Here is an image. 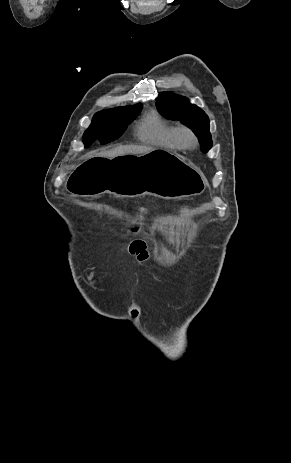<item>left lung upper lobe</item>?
Wrapping results in <instances>:
<instances>
[{
	"label": "left lung upper lobe",
	"mask_w": 291,
	"mask_h": 463,
	"mask_svg": "<svg viewBox=\"0 0 291 463\" xmlns=\"http://www.w3.org/2000/svg\"><path fill=\"white\" fill-rule=\"evenodd\" d=\"M158 111L167 119L179 120L197 135L203 152L212 146L209 119L205 112L183 96L162 92L156 99Z\"/></svg>",
	"instance_id": "obj_1"
}]
</instances>
